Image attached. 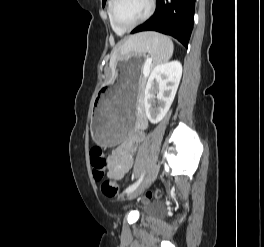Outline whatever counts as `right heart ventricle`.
<instances>
[{
    "instance_id": "right-heart-ventricle-1",
    "label": "right heart ventricle",
    "mask_w": 264,
    "mask_h": 247,
    "mask_svg": "<svg viewBox=\"0 0 264 247\" xmlns=\"http://www.w3.org/2000/svg\"><path fill=\"white\" fill-rule=\"evenodd\" d=\"M111 4H112V0H108V3H107V14H108L109 23H110L112 29H113L116 33H118V34H122V33H124V32L121 31V30H119V29H117V28L113 25V23L111 22V18H110V7H111Z\"/></svg>"
}]
</instances>
